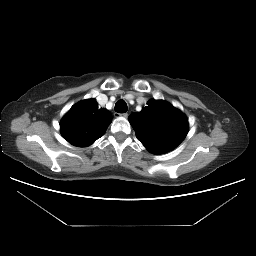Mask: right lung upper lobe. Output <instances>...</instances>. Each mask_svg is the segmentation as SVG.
Here are the masks:
<instances>
[{
	"label": "right lung upper lobe",
	"instance_id": "1",
	"mask_svg": "<svg viewBox=\"0 0 256 256\" xmlns=\"http://www.w3.org/2000/svg\"><path fill=\"white\" fill-rule=\"evenodd\" d=\"M111 114L98 109L94 99L75 104L63 117L60 128L64 138L71 144L87 147L99 139L111 123Z\"/></svg>",
	"mask_w": 256,
	"mask_h": 256
}]
</instances>
